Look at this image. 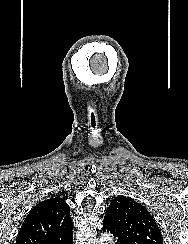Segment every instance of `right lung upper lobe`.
I'll return each instance as SVG.
<instances>
[{
  "instance_id": "obj_1",
  "label": "right lung upper lobe",
  "mask_w": 188,
  "mask_h": 244,
  "mask_svg": "<svg viewBox=\"0 0 188 244\" xmlns=\"http://www.w3.org/2000/svg\"><path fill=\"white\" fill-rule=\"evenodd\" d=\"M69 206L59 197L37 204L26 216L15 244H57L71 235Z\"/></svg>"
}]
</instances>
